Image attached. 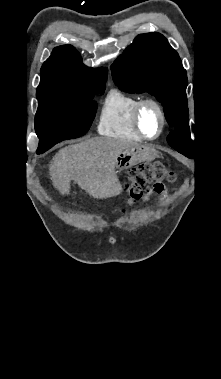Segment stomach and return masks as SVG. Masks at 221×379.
Listing matches in <instances>:
<instances>
[{
	"mask_svg": "<svg viewBox=\"0 0 221 379\" xmlns=\"http://www.w3.org/2000/svg\"><path fill=\"white\" fill-rule=\"evenodd\" d=\"M156 156V150L147 146L137 145L124 150L118 156L115 166L119 171H122L131 168L140 162L151 161Z\"/></svg>",
	"mask_w": 221,
	"mask_h": 379,
	"instance_id": "1",
	"label": "stomach"
}]
</instances>
